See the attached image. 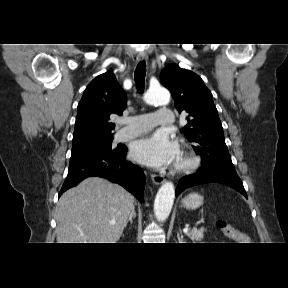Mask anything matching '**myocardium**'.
I'll return each mask as SVG.
<instances>
[{
  "mask_svg": "<svg viewBox=\"0 0 288 288\" xmlns=\"http://www.w3.org/2000/svg\"><path fill=\"white\" fill-rule=\"evenodd\" d=\"M197 164L198 159L196 157H194L192 154L188 152H184L179 158L177 168L182 170L192 169L196 167Z\"/></svg>",
  "mask_w": 288,
  "mask_h": 288,
  "instance_id": "obj_1",
  "label": "myocardium"
}]
</instances>
